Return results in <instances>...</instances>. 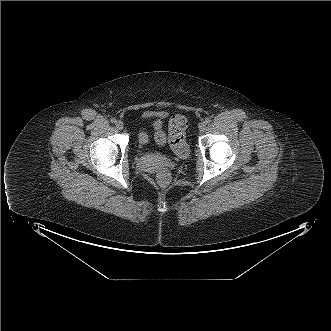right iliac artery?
<instances>
[{"label":"right iliac artery","mask_w":331,"mask_h":331,"mask_svg":"<svg viewBox=\"0 0 331 331\" xmlns=\"http://www.w3.org/2000/svg\"><path fill=\"white\" fill-rule=\"evenodd\" d=\"M110 121H111V123H113V124L116 123V119H115V118H111Z\"/></svg>","instance_id":"right-iliac-artery-1"}]
</instances>
